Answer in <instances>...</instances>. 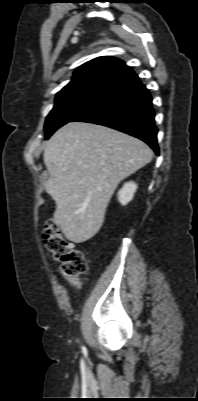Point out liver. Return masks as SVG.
Wrapping results in <instances>:
<instances>
[{"mask_svg": "<svg viewBox=\"0 0 198 401\" xmlns=\"http://www.w3.org/2000/svg\"><path fill=\"white\" fill-rule=\"evenodd\" d=\"M143 141L84 122L58 129L43 154L49 172L46 192L56 203L54 223L74 243L100 230L118 184L152 160Z\"/></svg>", "mask_w": 198, "mask_h": 401, "instance_id": "obj_1", "label": "liver"}]
</instances>
